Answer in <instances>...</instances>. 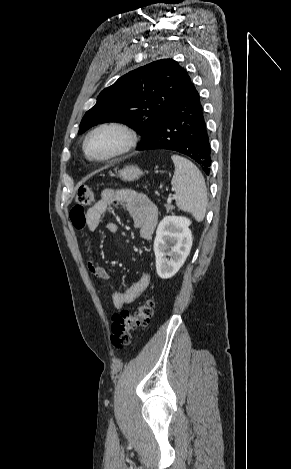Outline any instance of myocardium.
<instances>
[{
    "label": "myocardium",
    "instance_id": "myocardium-1",
    "mask_svg": "<svg viewBox=\"0 0 291 469\" xmlns=\"http://www.w3.org/2000/svg\"><path fill=\"white\" fill-rule=\"evenodd\" d=\"M106 129L116 130V131L121 133V135L123 137L121 145L115 151H113L112 153H110L107 156H104V157L92 156L89 153V150H88V142H89L90 138L95 133H97L101 130H106ZM137 140H138V138H137V135H136L135 131L131 127H129L127 124L122 123V122H118V121L104 122V123H101V124L97 125L96 127L91 129L87 133V135H86V137L83 141V151H84V154L87 157V159H89L91 161L108 162V161H111L113 159H116V158L128 153L136 145Z\"/></svg>",
    "mask_w": 291,
    "mask_h": 469
}]
</instances>
